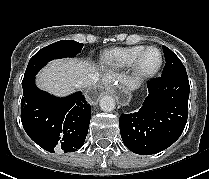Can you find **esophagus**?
Wrapping results in <instances>:
<instances>
[{
  "label": "esophagus",
  "mask_w": 209,
  "mask_h": 179,
  "mask_svg": "<svg viewBox=\"0 0 209 179\" xmlns=\"http://www.w3.org/2000/svg\"><path fill=\"white\" fill-rule=\"evenodd\" d=\"M104 93H108L109 96H114L117 103L120 105H125L129 101V97L122 90L121 87L115 83L103 82L99 85L94 86L86 93V101L88 104L93 105L96 103L97 98Z\"/></svg>",
  "instance_id": "esophagus-1"
}]
</instances>
